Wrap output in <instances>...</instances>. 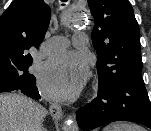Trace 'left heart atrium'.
Returning a JSON list of instances; mask_svg holds the SVG:
<instances>
[{
    "instance_id": "obj_1",
    "label": "left heart atrium",
    "mask_w": 151,
    "mask_h": 131,
    "mask_svg": "<svg viewBox=\"0 0 151 131\" xmlns=\"http://www.w3.org/2000/svg\"><path fill=\"white\" fill-rule=\"evenodd\" d=\"M87 75L88 63L83 56L62 52L43 64L39 86L49 99H69L82 89Z\"/></svg>"
}]
</instances>
